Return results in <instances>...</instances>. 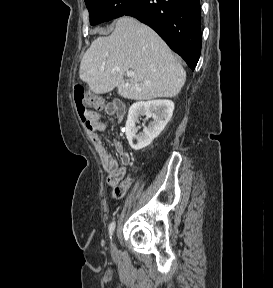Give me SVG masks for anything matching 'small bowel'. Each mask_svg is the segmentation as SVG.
I'll return each instance as SVG.
<instances>
[{
	"label": "small bowel",
	"mask_w": 273,
	"mask_h": 288,
	"mask_svg": "<svg viewBox=\"0 0 273 288\" xmlns=\"http://www.w3.org/2000/svg\"><path fill=\"white\" fill-rule=\"evenodd\" d=\"M106 114L116 116L122 120L125 116V107L120 102H111L105 107ZM107 126L96 115L93 127L89 130L90 137L94 146L101 157L104 170L107 174V184L113 188L112 196L115 199L122 198L132 184V178L126 177V166L131 162L129 152L123 145L114 141L113 144L118 152L119 159H116L107 149L104 142L101 140L99 133L106 131Z\"/></svg>",
	"instance_id": "obj_1"
}]
</instances>
